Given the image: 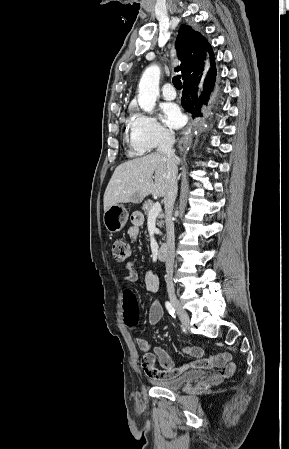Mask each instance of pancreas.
Masks as SVG:
<instances>
[{
	"mask_svg": "<svg viewBox=\"0 0 289 449\" xmlns=\"http://www.w3.org/2000/svg\"><path fill=\"white\" fill-rule=\"evenodd\" d=\"M154 206V203L152 200H147L144 202L143 206H142V210L144 211V213L148 216L149 215V211L151 210V208ZM159 221L157 222V226L158 227H163L164 221V214L160 213L158 215Z\"/></svg>",
	"mask_w": 289,
	"mask_h": 449,
	"instance_id": "1",
	"label": "pancreas"
}]
</instances>
